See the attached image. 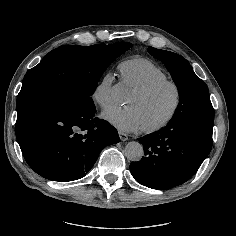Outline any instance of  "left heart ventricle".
<instances>
[{
  "instance_id": "b2bd125f",
  "label": "left heart ventricle",
  "mask_w": 236,
  "mask_h": 236,
  "mask_svg": "<svg viewBox=\"0 0 236 236\" xmlns=\"http://www.w3.org/2000/svg\"><path fill=\"white\" fill-rule=\"evenodd\" d=\"M126 103L138 111L142 127H150L161 122L171 112L175 103V92L171 86H164L146 97H140L133 92Z\"/></svg>"
}]
</instances>
